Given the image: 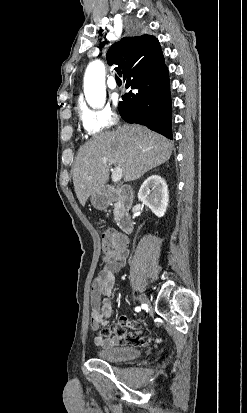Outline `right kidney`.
I'll return each mask as SVG.
<instances>
[{
    "label": "right kidney",
    "instance_id": "1",
    "mask_svg": "<svg viewBox=\"0 0 247 413\" xmlns=\"http://www.w3.org/2000/svg\"><path fill=\"white\" fill-rule=\"evenodd\" d=\"M168 196L166 180L160 174L148 176L141 184L138 192L139 200H142L156 217H164L168 207Z\"/></svg>",
    "mask_w": 247,
    "mask_h": 413
}]
</instances>
